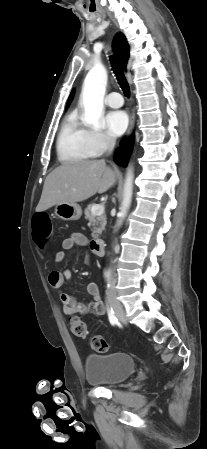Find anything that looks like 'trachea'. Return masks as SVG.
<instances>
[{
  "mask_svg": "<svg viewBox=\"0 0 207 449\" xmlns=\"http://www.w3.org/2000/svg\"><path fill=\"white\" fill-rule=\"evenodd\" d=\"M111 65L122 91L127 97H129L130 87L122 69L120 68V66L117 65V63L113 59H111Z\"/></svg>",
  "mask_w": 207,
  "mask_h": 449,
  "instance_id": "1",
  "label": "trachea"
}]
</instances>
